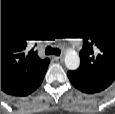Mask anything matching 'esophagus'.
I'll use <instances>...</instances> for the list:
<instances>
[{"mask_svg": "<svg viewBox=\"0 0 115 114\" xmlns=\"http://www.w3.org/2000/svg\"><path fill=\"white\" fill-rule=\"evenodd\" d=\"M54 60L58 63H62L64 61V58H63V56H56V57H54Z\"/></svg>", "mask_w": 115, "mask_h": 114, "instance_id": "34e87169", "label": "esophagus"}]
</instances>
